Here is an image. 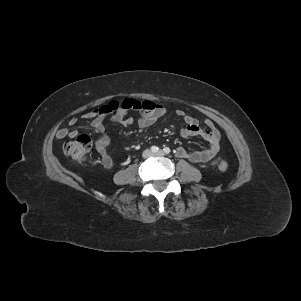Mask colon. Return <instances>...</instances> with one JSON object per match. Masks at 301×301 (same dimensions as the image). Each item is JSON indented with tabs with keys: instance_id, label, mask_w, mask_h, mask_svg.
I'll list each match as a JSON object with an SVG mask.
<instances>
[{
	"instance_id": "5ec220e1",
	"label": "colon",
	"mask_w": 301,
	"mask_h": 301,
	"mask_svg": "<svg viewBox=\"0 0 301 301\" xmlns=\"http://www.w3.org/2000/svg\"><path fill=\"white\" fill-rule=\"evenodd\" d=\"M122 106V102L112 101L98 108V112L112 113L118 111ZM91 150V139L87 135H79L74 140L67 141L63 145L64 154L77 163L86 161ZM228 163L221 161L218 164L220 171L228 170Z\"/></svg>"
}]
</instances>
